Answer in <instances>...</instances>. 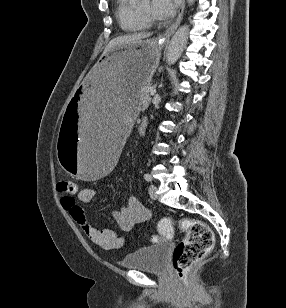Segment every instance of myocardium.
<instances>
[{
    "label": "myocardium",
    "mask_w": 286,
    "mask_h": 308,
    "mask_svg": "<svg viewBox=\"0 0 286 308\" xmlns=\"http://www.w3.org/2000/svg\"><path fill=\"white\" fill-rule=\"evenodd\" d=\"M137 12L139 14V16L148 24L152 23L154 21L153 17L150 14H146L142 11H140L139 9H137Z\"/></svg>",
    "instance_id": "1"
}]
</instances>
